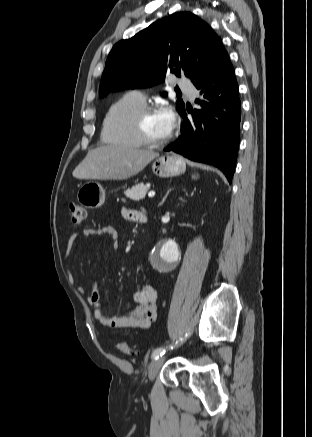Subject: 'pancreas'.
<instances>
[{
    "label": "pancreas",
    "instance_id": "obj_1",
    "mask_svg": "<svg viewBox=\"0 0 312 437\" xmlns=\"http://www.w3.org/2000/svg\"><path fill=\"white\" fill-rule=\"evenodd\" d=\"M148 191V186L143 183L133 186L131 189H127L124 194L126 197L134 201L142 200Z\"/></svg>",
    "mask_w": 312,
    "mask_h": 437
}]
</instances>
